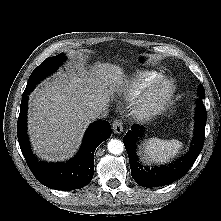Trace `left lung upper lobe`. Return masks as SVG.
<instances>
[{"label":"left lung upper lobe","instance_id":"obj_1","mask_svg":"<svg viewBox=\"0 0 221 221\" xmlns=\"http://www.w3.org/2000/svg\"><path fill=\"white\" fill-rule=\"evenodd\" d=\"M198 92H199L200 99H203L205 97V91L202 85L199 86Z\"/></svg>","mask_w":221,"mask_h":221}]
</instances>
